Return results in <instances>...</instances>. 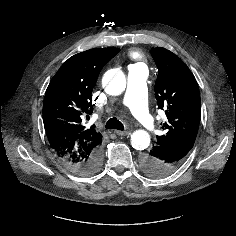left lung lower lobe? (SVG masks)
<instances>
[{
	"label": "left lung lower lobe",
	"mask_w": 236,
	"mask_h": 236,
	"mask_svg": "<svg viewBox=\"0 0 236 236\" xmlns=\"http://www.w3.org/2000/svg\"><path fill=\"white\" fill-rule=\"evenodd\" d=\"M192 147L185 144L154 145L150 152L142 157V168L147 175L153 178L166 177L182 165Z\"/></svg>",
	"instance_id": "0a47b994"
}]
</instances>
